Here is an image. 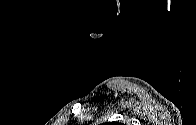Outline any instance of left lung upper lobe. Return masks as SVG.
<instances>
[{
    "mask_svg": "<svg viewBox=\"0 0 196 125\" xmlns=\"http://www.w3.org/2000/svg\"><path fill=\"white\" fill-rule=\"evenodd\" d=\"M107 124H110V125H112V124H113V122H110V123H107Z\"/></svg>",
    "mask_w": 196,
    "mask_h": 125,
    "instance_id": "obj_1",
    "label": "left lung upper lobe"
}]
</instances>
